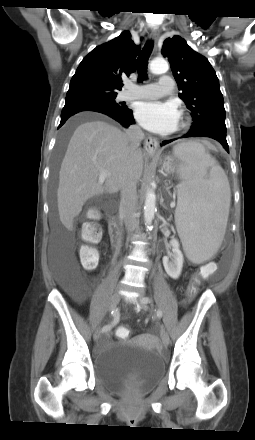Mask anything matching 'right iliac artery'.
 I'll use <instances>...</instances> for the list:
<instances>
[{"mask_svg": "<svg viewBox=\"0 0 255 440\" xmlns=\"http://www.w3.org/2000/svg\"><path fill=\"white\" fill-rule=\"evenodd\" d=\"M111 315L113 316V321L111 322V324L104 326L102 328V332H106V331L110 330L112 327H114L119 322L120 314L117 309H113L111 311Z\"/></svg>", "mask_w": 255, "mask_h": 440, "instance_id": "82829eb1", "label": "right iliac artery"}]
</instances>
